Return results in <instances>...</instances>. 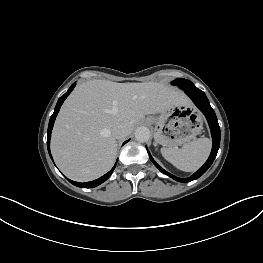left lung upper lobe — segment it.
Wrapping results in <instances>:
<instances>
[{
	"label": "left lung upper lobe",
	"mask_w": 263,
	"mask_h": 263,
	"mask_svg": "<svg viewBox=\"0 0 263 263\" xmlns=\"http://www.w3.org/2000/svg\"><path fill=\"white\" fill-rule=\"evenodd\" d=\"M172 85H177L182 89H193L195 85L187 79H176L172 82Z\"/></svg>",
	"instance_id": "obj_1"
}]
</instances>
